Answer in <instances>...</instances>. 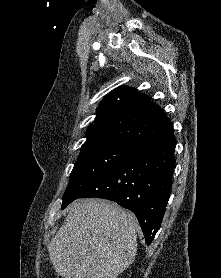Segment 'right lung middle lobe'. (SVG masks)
Returning a JSON list of instances; mask_svg holds the SVG:
<instances>
[{"label":"right lung middle lobe","instance_id":"obj_1","mask_svg":"<svg viewBox=\"0 0 221 278\" xmlns=\"http://www.w3.org/2000/svg\"><path fill=\"white\" fill-rule=\"evenodd\" d=\"M133 146L127 142L114 140L84 144L70 174L62 209L77 199L79 194L101 175L126 159Z\"/></svg>","mask_w":221,"mask_h":278}]
</instances>
